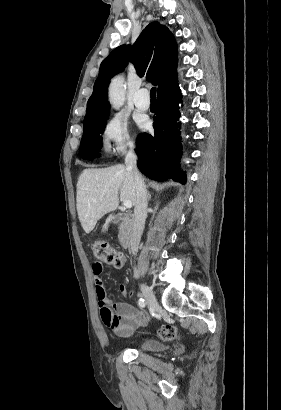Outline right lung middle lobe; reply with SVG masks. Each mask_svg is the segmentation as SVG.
Wrapping results in <instances>:
<instances>
[{"label": "right lung middle lobe", "instance_id": "right-lung-middle-lobe-1", "mask_svg": "<svg viewBox=\"0 0 281 410\" xmlns=\"http://www.w3.org/2000/svg\"><path fill=\"white\" fill-rule=\"evenodd\" d=\"M109 113L95 119L93 121L84 123V132L80 145V152L83 159L93 160L99 157V151L102 146V136L104 132Z\"/></svg>", "mask_w": 281, "mask_h": 410}]
</instances>
